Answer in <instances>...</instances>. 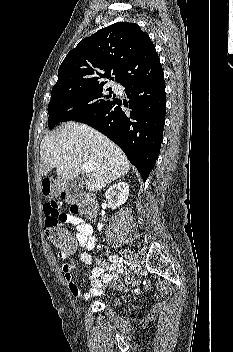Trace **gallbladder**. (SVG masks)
<instances>
[{"instance_id": "1", "label": "gallbladder", "mask_w": 233, "mask_h": 352, "mask_svg": "<svg viewBox=\"0 0 233 352\" xmlns=\"http://www.w3.org/2000/svg\"><path fill=\"white\" fill-rule=\"evenodd\" d=\"M84 181L75 179L68 182L66 185L67 191L70 196L75 197L83 190Z\"/></svg>"}]
</instances>
